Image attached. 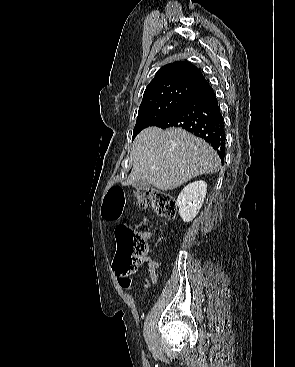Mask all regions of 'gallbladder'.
I'll return each mask as SVG.
<instances>
[{"label": "gallbladder", "instance_id": "1", "mask_svg": "<svg viewBox=\"0 0 295 367\" xmlns=\"http://www.w3.org/2000/svg\"><path fill=\"white\" fill-rule=\"evenodd\" d=\"M134 187L137 191L149 190L151 184L143 180H138L134 183Z\"/></svg>", "mask_w": 295, "mask_h": 367}]
</instances>
